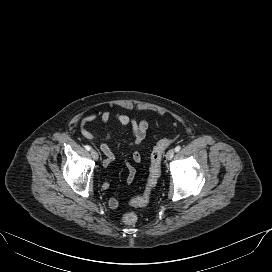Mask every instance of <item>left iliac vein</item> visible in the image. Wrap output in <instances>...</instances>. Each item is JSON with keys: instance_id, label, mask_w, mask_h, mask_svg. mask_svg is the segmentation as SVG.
<instances>
[{"instance_id": "1", "label": "left iliac vein", "mask_w": 272, "mask_h": 272, "mask_svg": "<svg viewBox=\"0 0 272 272\" xmlns=\"http://www.w3.org/2000/svg\"><path fill=\"white\" fill-rule=\"evenodd\" d=\"M175 154V150L174 149H170L167 153H166V159L167 160H171L174 157Z\"/></svg>"}]
</instances>
